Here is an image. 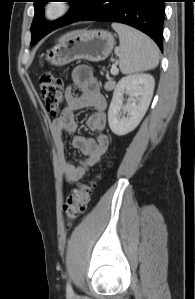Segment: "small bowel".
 I'll return each mask as SVG.
<instances>
[{"instance_id":"c3829d8e","label":"small bowel","mask_w":195,"mask_h":299,"mask_svg":"<svg viewBox=\"0 0 195 299\" xmlns=\"http://www.w3.org/2000/svg\"><path fill=\"white\" fill-rule=\"evenodd\" d=\"M72 84L65 91V105L58 118L52 121L51 131L55 137L56 147L62 158V173L68 183L82 180L90 167L97 165L109 146V139L103 133L106 127L105 110L107 101L100 91L99 83L87 67H77L72 72ZM74 88L80 90L77 95ZM83 108L93 110L86 119V127L96 133L95 138L74 135L72 146L85 155L78 165L66 161L64 149V133H75L77 122L74 113Z\"/></svg>"}]
</instances>
